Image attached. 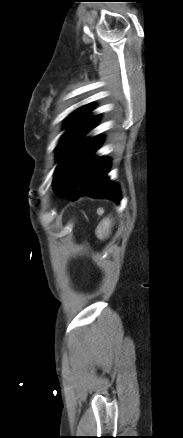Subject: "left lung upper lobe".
<instances>
[{
	"instance_id": "left-lung-upper-lobe-1",
	"label": "left lung upper lobe",
	"mask_w": 183,
	"mask_h": 438,
	"mask_svg": "<svg viewBox=\"0 0 183 438\" xmlns=\"http://www.w3.org/2000/svg\"><path fill=\"white\" fill-rule=\"evenodd\" d=\"M90 106L85 105L74 111L68 118V130L58 144V158L72 149L98 122V115L89 117Z\"/></svg>"
}]
</instances>
